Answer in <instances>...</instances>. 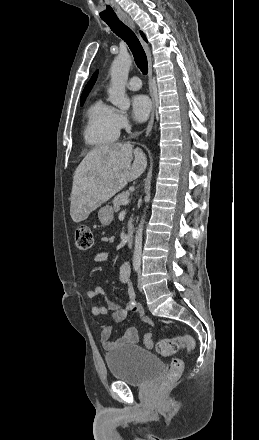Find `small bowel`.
I'll list each match as a JSON object with an SVG mask.
<instances>
[{
  "label": "small bowel",
  "instance_id": "small-bowel-1",
  "mask_svg": "<svg viewBox=\"0 0 259 440\" xmlns=\"http://www.w3.org/2000/svg\"><path fill=\"white\" fill-rule=\"evenodd\" d=\"M114 239L115 238L113 236H109L104 237L102 241L111 243L114 241ZM107 258L108 254L106 252H98L95 255L96 262H105ZM119 279L123 284L127 286V303L122 305L116 301L105 298L103 304H92L90 307V313L95 317H99L106 316L109 314L110 311H112V319L114 322L117 323L126 320L129 313H136L139 316L141 322L148 326V331L144 336V342L147 348H152L153 342L151 340V328L154 326V322L151 318L144 315L141 304H139L136 300V294L131 282V269L130 265L127 262L123 263L120 267ZM105 293V290L101 287L88 289L86 291V295L90 299L96 298L99 295H105ZM112 332L113 330L111 326H102L100 329V341L106 350H111L113 348L129 344H135L138 342L139 339L138 331L135 327L127 328L125 333L117 339H112Z\"/></svg>",
  "mask_w": 259,
  "mask_h": 440
}]
</instances>
